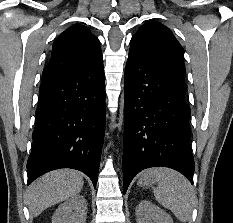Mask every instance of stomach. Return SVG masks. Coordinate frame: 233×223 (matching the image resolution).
Wrapping results in <instances>:
<instances>
[{
    "label": "stomach",
    "mask_w": 233,
    "mask_h": 223,
    "mask_svg": "<svg viewBox=\"0 0 233 223\" xmlns=\"http://www.w3.org/2000/svg\"><path fill=\"white\" fill-rule=\"evenodd\" d=\"M153 171V169H150ZM156 177H141L138 181V185H151V183H155Z\"/></svg>",
    "instance_id": "0dacf381"
}]
</instances>
